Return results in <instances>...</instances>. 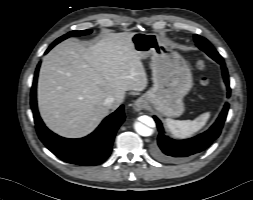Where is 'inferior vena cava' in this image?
Wrapping results in <instances>:
<instances>
[{"label":"inferior vena cava","instance_id":"obj_1","mask_svg":"<svg viewBox=\"0 0 253 200\" xmlns=\"http://www.w3.org/2000/svg\"><path fill=\"white\" fill-rule=\"evenodd\" d=\"M115 103V98L113 96H108L105 100H104V105L108 108H113Z\"/></svg>","mask_w":253,"mask_h":200}]
</instances>
